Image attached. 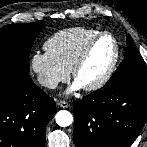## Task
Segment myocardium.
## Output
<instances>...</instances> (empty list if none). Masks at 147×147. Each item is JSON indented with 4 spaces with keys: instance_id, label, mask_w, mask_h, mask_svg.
<instances>
[{
    "instance_id": "1",
    "label": "myocardium",
    "mask_w": 147,
    "mask_h": 147,
    "mask_svg": "<svg viewBox=\"0 0 147 147\" xmlns=\"http://www.w3.org/2000/svg\"><path fill=\"white\" fill-rule=\"evenodd\" d=\"M103 37H110L112 39V41L114 43V55H113L112 61L109 65L108 69L97 81L93 82L92 84L82 86L84 88V90H86V91H96V90L101 89L103 86H105L108 83V81L111 79V77L113 76V74L116 70L117 64L119 62L120 45H119L118 40L110 32L101 31V32L97 33L95 36H93L86 43V45L84 46V48L80 52L79 56L75 60L73 66L71 68V73H72L73 79L76 81L77 74H78L79 70L81 69V67L83 66V64L86 62L92 48L97 43V41Z\"/></svg>"
}]
</instances>
